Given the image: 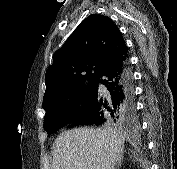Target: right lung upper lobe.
<instances>
[{
    "instance_id": "cb5924a9",
    "label": "right lung upper lobe",
    "mask_w": 177,
    "mask_h": 169,
    "mask_svg": "<svg viewBox=\"0 0 177 169\" xmlns=\"http://www.w3.org/2000/svg\"><path fill=\"white\" fill-rule=\"evenodd\" d=\"M127 50L121 32L109 17L88 16L53 56L45 74L43 107L95 81L106 67L127 57Z\"/></svg>"
}]
</instances>
